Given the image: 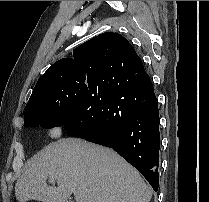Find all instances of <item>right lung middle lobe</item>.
<instances>
[{
    "instance_id": "right-lung-middle-lobe-1",
    "label": "right lung middle lobe",
    "mask_w": 209,
    "mask_h": 202,
    "mask_svg": "<svg viewBox=\"0 0 209 202\" xmlns=\"http://www.w3.org/2000/svg\"><path fill=\"white\" fill-rule=\"evenodd\" d=\"M96 78L79 73L49 78L32 96L30 109L24 112V118L29 120L26 127L63 126L80 111Z\"/></svg>"
}]
</instances>
